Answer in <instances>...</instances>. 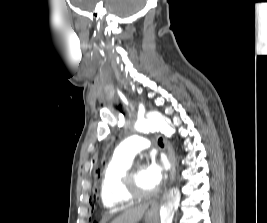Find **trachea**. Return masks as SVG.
I'll use <instances>...</instances> for the list:
<instances>
[{
	"label": "trachea",
	"instance_id": "trachea-1",
	"mask_svg": "<svg viewBox=\"0 0 267 223\" xmlns=\"http://www.w3.org/2000/svg\"><path fill=\"white\" fill-rule=\"evenodd\" d=\"M158 144H159L160 146H163V139H162V137H160V138L158 139Z\"/></svg>",
	"mask_w": 267,
	"mask_h": 223
}]
</instances>
